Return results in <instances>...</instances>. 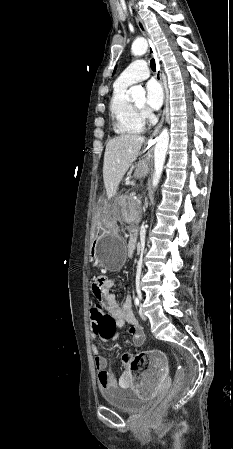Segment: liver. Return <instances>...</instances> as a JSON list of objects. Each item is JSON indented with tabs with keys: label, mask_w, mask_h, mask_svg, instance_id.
<instances>
[{
	"label": "liver",
	"mask_w": 233,
	"mask_h": 449,
	"mask_svg": "<svg viewBox=\"0 0 233 449\" xmlns=\"http://www.w3.org/2000/svg\"><path fill=\"white\" fill-rule=\"evenodd\" d=\"M144 141L145 138L137 134H122L108 141L103 162V180L108 200L116 194Z\"/></svg>",
	"instance_id": "liver-1"
}]
</instances>
